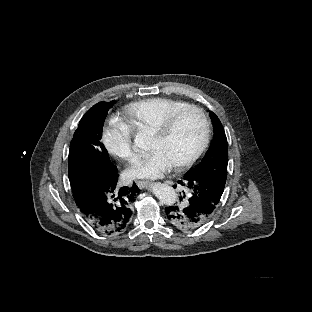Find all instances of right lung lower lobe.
Masks as SVG:
<instances>
[{"instance_id":"98d812e1","label":"right lung lower lobe","mask_w":312,"mask_h":312,"mask_svg":"<svg viewBox=\"0 0 312 312\" xmlns=\"http://www.w3.org/2000/svg\"><path fill=\"white\" fill-rule=\"evenodd\" d=\"M118 172L102 175L72 190L82 217L91 227L103 234L124 232L132 215V203L139 188L117 187Z\"/></svg>"}]
</instances>
